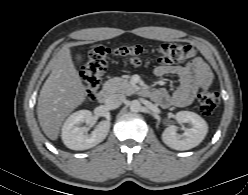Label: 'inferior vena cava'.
I'll return each mask as SVG.
<instances>
[{
  "instance_id": "1",
  "label": "inferior vena cava",
  "mask_w": 248,
  "mask_h": 195,
  "mask_svg": "<svg viewBox=\"0 0 248 195\" xmlns=\"http://www.w3.org/2000/svg\"><path fill=\"white\" fill-rule=\"evenodd\" d=\"M125 101V96L123 94H112L106 100V106L109 109L118 108Z\"/></svg>"
}]
</instances>
